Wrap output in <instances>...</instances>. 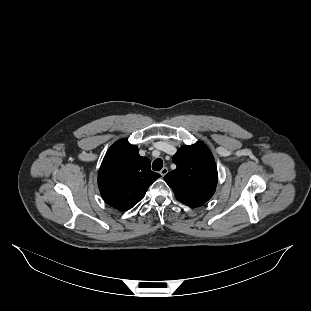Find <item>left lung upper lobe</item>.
<instances>
[{
    "label": "left lung upper lobe",
    "mask_w": 311,
    "mask_h": 311,
    "mask_svg": "<svg viewBox=\"0 0 311 311\" xmlns=\"http://www.w3.org/2000/svg\"><path fill=\"white\" fill-rule=\"evenodd\" d=\"M177 168L165 175L164 180L172 188L177 200L190 207H198L214 194L218 174L209 149L197 142L182 146L173 156Z\"/></svg>",
    "instance_id": "5c2ea615"
}]
</instances>
